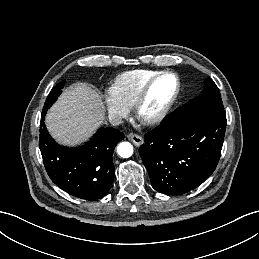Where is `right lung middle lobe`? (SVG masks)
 I'll return each instance as SVG.
<instances>
[{
  "label": "right lung middle lobe",
  "instance_id": "obj_1",
  "mask_svg": "<svg viewBox=\"0 0 259 259\" xmlns=\"http://www.w3.org/2000/svg\"><path fill=\"white\" fill-rule=\"evenodd\" d=\"M64 87V81L58 83L55 87L52 88L50 94L48 95L41 115V120H44L45 114L48 109L52 106V104L57 100V97L61 94V89Z\"/></svg>",
  "mask_w": 259,
  "mask_h": 259
}]
</instances>
